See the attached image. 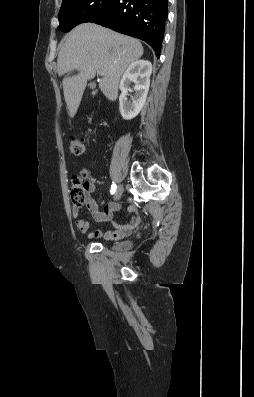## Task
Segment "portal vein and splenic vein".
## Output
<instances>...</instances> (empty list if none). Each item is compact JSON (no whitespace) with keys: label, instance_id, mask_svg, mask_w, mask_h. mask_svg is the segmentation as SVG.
Segmentation results:
<instances>
[{"label":"portal vein and splenic vein","instance_id":"portal-vein-and-splenic-vein-1","mask_svg":"<svg viewBox=\"0 0 254 397\" xmlns=\"http://www.w3.org/2000/svg\"><path fill=\"white\" fill-rule=\"evenodd\" d=\"M103 73H104V71H99V74H100V75H103Z\"/></svg>","mask_w":254,"mask_h":397}]
</instances>
